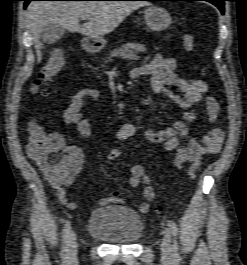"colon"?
I'll use <instances>...</instances> for the list:
<instances>
[{"instance_id":"colon-1","label":"colon","mask_w":247,"mask_h":265,"mask_svg":"<svg viewBox=\"0 0 247 265\" xmlns=\"http://www.w3.org/2000/svg\"><path fill=\"white\" fill-rule=\"evenodd\" d=\"M181 44L185 51L191 52L195 47V38L192 34H183ZM65 58L61 49H55L42 69L39 77L31 87V92L46 95L45 86L64 66ZM30 139L26 145L28 155L52 179H63L71 168V160L63 151V142L55 133H48L36 119L28 124ZM121 156L119 149H112L108 155L109 162L117 161ZM201 162L194 161L189 168V176L194 177L200 170Z\"/></svg>"}]
</instances>
